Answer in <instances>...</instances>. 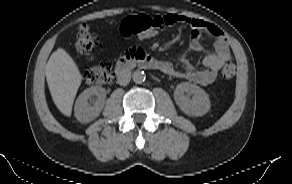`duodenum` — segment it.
<instances>
[{"label":"duodenum","mask_w":292,"mask_h":184,"mask_svg":"<svg viewBox=\"0 0 292 184\" xmlns=\"http://www.w3.org/2000/svg\"><path fill=\"white\" fill-rule=\"evenodd\" d=\"M132 67L153 69L166 72L167 67L164 61L148 55L141 50H130L126 52L116 63L115 72L119 78H123Z\"/></svg>","instance_id":"duodenum-1"}]
</instances>
